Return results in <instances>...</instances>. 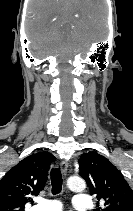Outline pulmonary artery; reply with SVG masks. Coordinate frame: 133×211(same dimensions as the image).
Wrapping results in <instances>:
<instances>
[{"label":"pulmonary artery","instance_id":"e3ab8cb5","mask_svg":"<svg viewBox=\"0 0 133 211\" xmlns=\"http://www.w3.org/2000/svg\"><path fill=\"white\" fill-rule=\"evenodd\" d=\"M73 206L78 211L89 210L92 207L91 199L85 194H76L73 198ZM62 205L57 200L39 199L38 204L30 211H61Z\"/></svg>","mask_w":133,"mask_h":211}]
</instances>
